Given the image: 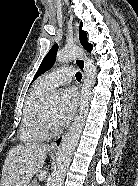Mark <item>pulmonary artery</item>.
<instances>
[{"label": "pulmonary artery", "mask_w": 138, "mask_h": 186, "mask_svg": "<svg viewBox=\"0 0 138 186\" xmlns=\"http://www.w3.org/2000/svg\"><path fill=\"white\" fill-rule=\"evenodd\" d=\"M75 76V70L72 67H62L54 70L40 80L47 88H54L69 83Z\"/></svg>", "instance_id": "1"}]
</instances>
